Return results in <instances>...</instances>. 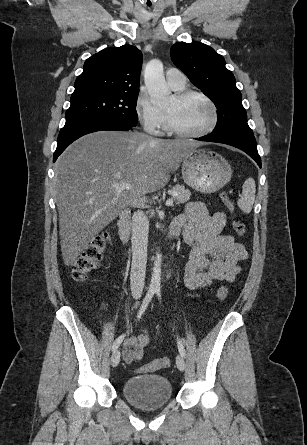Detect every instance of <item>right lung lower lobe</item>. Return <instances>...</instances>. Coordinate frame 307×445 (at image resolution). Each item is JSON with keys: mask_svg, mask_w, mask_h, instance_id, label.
<instances>
[{"mask_svg": "<svg viewBox=\"0 0 307 445\" xmlns=\"http://www.w3.org/2000/svg\"><path fill=\"white\" fill-rule=\"evenodd\" d=\"M132 127L134 125L127 122L105 117H86L68 120L59 133L53 162L56 161L68 145L83 135L102 130H129Z\"/></svg>", "mask_w": 307, "mask_h": 445, "instance_id": "obj_1", "label": "right lung lower lobe"}]
</instances>
